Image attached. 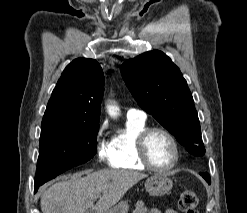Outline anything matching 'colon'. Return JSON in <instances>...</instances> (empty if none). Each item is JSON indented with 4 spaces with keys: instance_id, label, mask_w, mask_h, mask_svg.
<instances>
[{
    "instance_id": "5ec220e1",
    "label": "colon",
    "mask_w": 247,
    "mask_h": 213,
    "mask_svg": "<svg viewBox=\"0 0 247 213\" xmlns=\"http://www.w3.org/2000/svg\"><path fill=\"white\" fill-rule=\"evenodd\" d=\"M178 207L183 213H198V198L195 192L183 190L178 198Z\"/></svg>"
}]
</instances>
